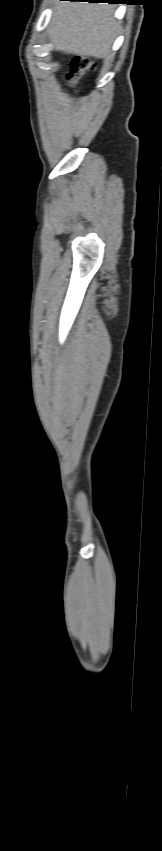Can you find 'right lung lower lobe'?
Listing matches in <instances>:
<instances>
[{"label": "right lung lower lobe", "mask_w": 162, "mask_h": 851, "mask_svg": "<svg viewBox=\"0 0 162 851\" xmlns=\"http://www.w3.org/2000/svg\"><path fill=\"white\" fill-rule=\"evenodd\" d=\"M70 1H88V2H98V3L106 2V3H109V4L122 3V0H70Z\"/></svg>", "instance_id": "right-lung-lower-lobe-1"}]
</instances>
